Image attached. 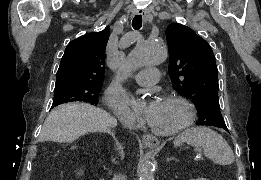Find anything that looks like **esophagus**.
Masks as SVG:
<instances>
[{
    "label": "esophagus",
    "mask_w": 261,
    "mask_h": 180,
    "mask_svg": "<svg viewBox=\"0 0 261 180\" xmlns=\"http://www.w3.org/2000/svg\"><path fill=\"white\" fill-rule=\"evenodd\" d=\"M135 13L143 15V16L146 15L145 10H136ZM142 142L145 145H147L149 148H156L160 144V141L158 140V138L155 137L154 135H151L150 133H145L142 136Z\"/></svg>",
    "instance_id": "esophagus-1"
}]
</instances>
